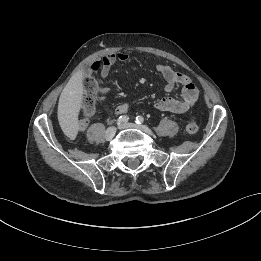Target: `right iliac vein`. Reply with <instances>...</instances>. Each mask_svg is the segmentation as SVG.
<instances>
[{"label":"right iliac vein","instance_id":"1","mask_svg":"<svg viewBox=\"0 0 261 261\" xmlns=\"http://www.w3.org/2000/svg\"><path fill=\"white\" fill-rule=\"evenodd\" d=\"M116 134V128L115 127H109L105 132V138L107 140H111Z\"/></svg>","mask_w":261,"mask_h":261}]
</instances>
